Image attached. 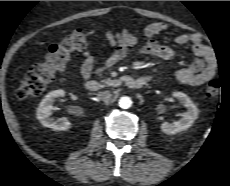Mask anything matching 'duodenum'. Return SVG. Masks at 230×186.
<instances>
[{"instance_id": "obj_1", "label": "duodenum", "mask_w": 230, "mask_h": 186, "mask_svg": "<svg viewBox=\"0 0 230 186\" xmlns=\"http://www.w3.org/2000/svg\"><path fill=\"white\" fill-rule=\"evenodd\" d=\"M121 81L130 89H140L147 82V80L143 77L135 78L130 75L123 76ZM85 86L90 92H99L102 89L101 83L94 79L87 80Z\"/></svg>"}]
</instances>
